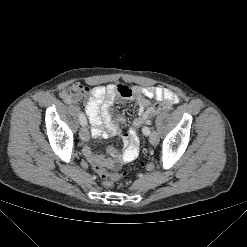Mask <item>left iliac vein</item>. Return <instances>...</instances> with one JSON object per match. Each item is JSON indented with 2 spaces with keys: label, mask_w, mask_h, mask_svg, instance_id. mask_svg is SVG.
Listing matches in <instances>:
<instances>
[{
  "label": "left iliac vein",
  "mask_w": 247,
  "mask_h": 247,
  "mask_svg": "<svg viewBox=\"0 0 247 247\" xmlns=\"http://www.w3.org/2000/svg\"><path fill=\"white\" fill-rule=\"evenodd\" d=\"M149 141L152 145H156L158 143V136H157L156 132H153L150 134Z\"/></svg>",
  "instance_id": "1"
}]
</instances>
